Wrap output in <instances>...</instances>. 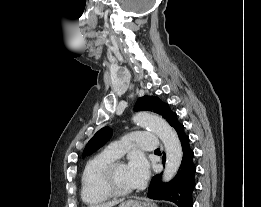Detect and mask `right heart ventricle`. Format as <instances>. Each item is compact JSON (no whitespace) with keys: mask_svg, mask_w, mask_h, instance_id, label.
Masks as SVG:
<instances>
[{"mask_svg":"<svg viewBox=\"0 0 261 207\" xmlns=\"http://www.w3.org/2000/svg\"><path fill=\"white\" fill-rule=\"evenodd\" d=\"M116 159L103 151L87 161L81 175V197L86 204H100L111 197L103 187L102 175L107 165Z\"/></svg>","mask_w":261,"mask_h":207,"instance_id":"e07e8e85","label":"right heart ventricle"}]
</instances>
